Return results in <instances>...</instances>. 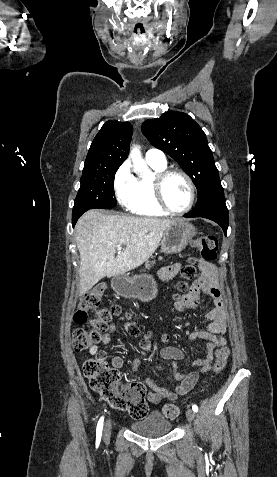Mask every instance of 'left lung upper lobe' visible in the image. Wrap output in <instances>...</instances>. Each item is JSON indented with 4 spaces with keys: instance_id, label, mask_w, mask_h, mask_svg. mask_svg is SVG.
Instances as JSON below:
<instances>
[{
    "instance_id": "obj_1",
    "label": "left lung upper lobe",
    "mask_w": 277,
    "mask_h": 477,
    "mask_svg": "<svg viewBox=\"0 0 277 477\" xmlns=\"http://www.w3.org/2000/svg\"><path fill=\"white\" fill-rule=\"evenodd\" d=\"M142 132L153 146L170 155L192 178L198 191L196 207L221 186L206 135L188 114L168 111L160 118L146 120Z\"/></svg>"
}]
</instances>
